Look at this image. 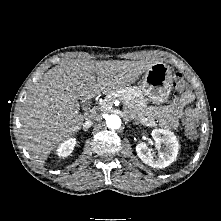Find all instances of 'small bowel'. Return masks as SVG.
I'll return each instance as SVG.
<instances>
[{
  "label": "small bowel",
  "mask_w": 221,
  "mask_h": 221,
  "mask_svg": "<svg viewBox=\"0 0 221 221\" xmlns=\"http://www.w3.org/2000/svg\"><path fill=\"white\" fill-rule=\"evenodd\" d=\"M193 101V95L191 92L183 94L180 98H175L164 110L161 115V123L174 129L178 125V119L185 116L197 117V110L189 105Z\"/></svg>",
  "instance_id": "obj_1"
}]
</instances>
